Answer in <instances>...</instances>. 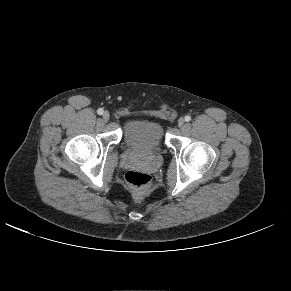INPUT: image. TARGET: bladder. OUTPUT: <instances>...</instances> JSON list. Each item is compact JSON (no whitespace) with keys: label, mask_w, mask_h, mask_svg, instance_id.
Segmentation results:
<instances>
[{"label":"bladder","mask_w":291,"mask_h":291,"mask_svg":"<svg viewBox=\"0 0 291 291\" xmlns=\"http://www.w3.org/2000/svg\"><path fill=\"white\" fill-rule=\"evenodd\" d=\"M125 143L136 149L159 148L165 138L161 122L155 119H133L126 123L123 130Z\"/></svg>","instance_id":"31cf9c89"}]
</instances>
